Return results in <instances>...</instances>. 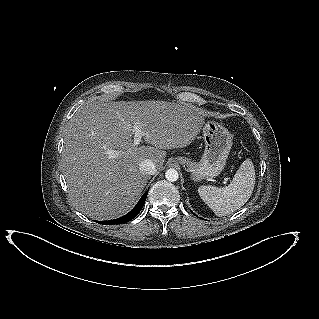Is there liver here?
<instances>
[{
  "label": "liver",
  "instance_id": "liver-1",
  "mask_svg": "<svg viewBox=\"0 0 319 319\" xmlns=\"http://www.w3.org/2000/svg\"><path fill=\"white\" fill-rule=\"evenodd\" d=\"M136 122L151 146L132 145ZM203 122L202 113L186 103L86 102L64 135L61 167L69 201L94 220L123 216L137 203L147 183L139 164L150 159L156 169H162L165 150L188 146ZM111 151L119 155L113 156Z\"/></svg>",
  "mask_w": 319,
  "mask_h": 319
}]
</instances>
